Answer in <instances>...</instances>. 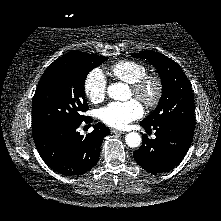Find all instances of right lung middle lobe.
<instances>
[{"instance_id":"right-lung-middle-lobe-1","label":"right lung middle lobe","mask_w":221,"mask_h":221,"mask_svg":"<svg viewBox=\"0 0 221 221\" xmlns=\"http://www.w3.org/2000/svg\"><path fill=\"white\" fill-rule=\"evenodd\" d=\"M108 57L94 54L62 56L48 66L32 103V135L68 122L84 120L88 109L84 84L88 73Z\"/></svg>"}]
</instances>
